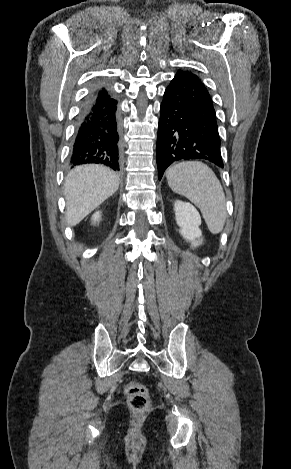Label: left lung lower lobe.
Returning a JSON list of instances; mask_svg holds the SVG:
<instances>
[{
	"instance_id": "obj_1",
	"label": "left lung lower lobe",
	"mask_w": 291,
	"mask_h": 469,
	"mask_svg": "<svg viewBox=\"0 0 291 469\" xmlns=\"http://www.w3.org/2000/svg\"><path fill=\"white\" fill-rule=\"evenodd\" d=\"M156 157L159 180L171 163L180 160L205 159L223 168L212 99L190 72L179 71L165 90Z\"/></svg>"
}]
</instances>
